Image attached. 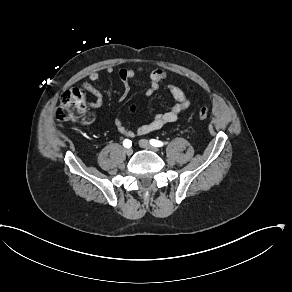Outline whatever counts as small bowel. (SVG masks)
Returning a JSON list of instances; mask_svg holds the SVG:
<instances>
[{
	"instance_id": "small-bowel-1",
	"label": "small bowel",
	"mask_w": 292,
	"mask_h": 292,
	"mask_svg": "<svg viewBox=\"0 0 292 292\" xmlns=\"http://www.w3.org/2000/svg\"><path fill=\"white\" fill-rule=\"evenodd\" d=\"M107 74H112L113 69L107 68ZM146 74L149 78V86L145 94L150 97L155 94L160 85H162L168 78L166 70L161 68L149 69L145 66H137L133 68H121L118 71V76L123 82V91L121 99H124L130 92V82L138 75ZM101 75L98 71H91L88 74L87 80L81 83V88L94 97V101L90 104L94 108H99L103 102L101 91L93 84L100 79ZM166 88L173 97L175 103L165 112H160L146 124L140 126L136 131L126 128L120 118L114 119V125L117 131L127 137H132L135 134L144 135L161 129L165 125L174 123L178 117L185 112L190 106V99L185 94L183 89L176 84L167 83Z\"/></svg>"
}]
</instances>
